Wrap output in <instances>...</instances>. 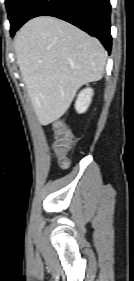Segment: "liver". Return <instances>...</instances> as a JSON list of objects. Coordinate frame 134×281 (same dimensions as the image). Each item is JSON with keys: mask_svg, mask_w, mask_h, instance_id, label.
I'll use <instances>...</instances> for the list:
<instances>
[{"mask_svg": "<svg viewBox=\"0 0 134 281\" xmlns=\"http://www.w3.org/2000/svg\"><path fill=\"white\" fill-rule=\"evenodd\" d=\"M17 63L41 125L58 120L77 90L103 77L107 53L94 37L54 17L28 21L15 37Z\"/></svg>", "mask_w": 134, "mask_h": 281, "instance_id": "obj_1", "label": "liver"}]
</instances>
